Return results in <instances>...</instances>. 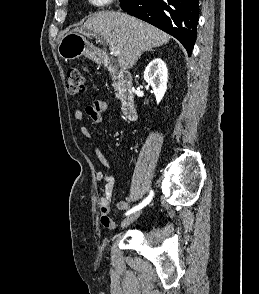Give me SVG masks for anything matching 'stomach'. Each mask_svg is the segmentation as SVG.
<instances>
[{"instance_id":"obj_1","label":"stomach","mask_w":259,"mask_h":294,"mask_svg":"<svg viewBox=\"0 0 259 294\" xmlns=\"http://www.w3.org/2000/svg\"><path fill=\"white\" fill-rule=\"evenodd\" d=\"M58 53L64 59L73 60L80 56L94 58V51L86 38L78 31L66 33L58 45Z\"/></svg>"}]
</instances>
